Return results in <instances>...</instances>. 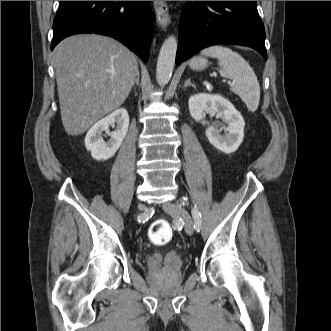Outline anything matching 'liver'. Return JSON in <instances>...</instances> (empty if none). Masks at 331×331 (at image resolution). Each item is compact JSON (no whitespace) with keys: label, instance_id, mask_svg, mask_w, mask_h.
Listing matches in <instances>:
<instances>
[{"label":"liver","instance_id":"liver-1","mask_svg":"<svg viewBox=\"0 0 331 331\" xmlns=\"http://www.w3.org/2000/svg\"><path fill=\"white\" fill-rule=\"evenodd\" d=\"M63 127L81 135L128 97L138 72L135 55L116 40L79 34L53 51Z\"/></svg>","mask_w":331,"mask_h":331}]
</instances>
